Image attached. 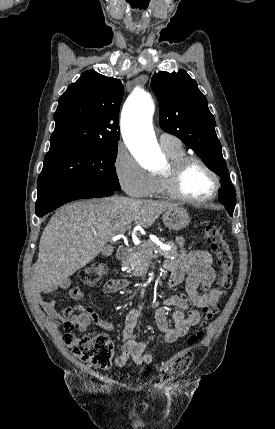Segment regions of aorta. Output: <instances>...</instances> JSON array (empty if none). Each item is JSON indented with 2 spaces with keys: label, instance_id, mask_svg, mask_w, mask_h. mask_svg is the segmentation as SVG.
<instances>
[{
  "label": "aorta",
  "instance_id": "obj_1",
  "mask_svg": "<svg viewBox=\"0 0 275 429\" xmlns=\"http://www.w3.org/2000/svg\"><path fill=\"white\" fill-rule=\"evenodd\" d=\"M154 112L151 96L137 90L126 101L121 115V131L127 147L149 170H157L162 159L153 128Z\"/></svg>",
  "mask_w": 275,
  "mask_h": 429
}]
</instances>
